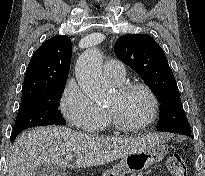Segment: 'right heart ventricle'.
I'll return each mask as SVG.
<instances>
[{
	"mask_svg": "<svg viewBox=\"0 0 205 176\" xmlns=\"http://www.w3.org/2000/svg\"><path fill=\"white\" fill-rule=\"evenodd\" d=\"M111 83L113 85H115V86H120L122 84V82L118 83V84L113 83V82H111ZM110 121H111V118H110L108 112L107 111H103V120L99 124L100 130H103L104 128H106L109 125Z\"/></svg>",
	"mask_w": 205,
	"mask_h": 176,
	"instance_id": "1",
	"label": "right heart ventricle"
}]
</instances>
